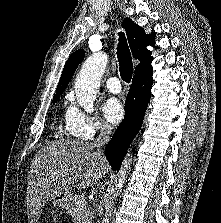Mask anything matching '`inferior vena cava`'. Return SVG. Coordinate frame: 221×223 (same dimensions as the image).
Segmentation results:
<instances>
[{
    "mask_svg": "<svg viewBox=\"0 0 221 223\" xmlns=\"http://www.w3.org/2000/svg\"><path fill=\"white\" fill-rule=\"evenodd\" d=\"M98 129L100 131L99 136L97 139H95V141L93 142V145L101 147L109 141L111 133H112V129L110 126L106 124H99Z\"/></svg>",
    "mask_w": 221,
    "mask_h": 223,
    "instance_id": "602c4592",
    "label": "inferior vena cava"
}]
</instances>
